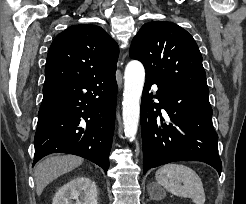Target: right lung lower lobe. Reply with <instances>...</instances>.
I'll use <instances>...</instances> for the list:
<instances>
[{"label":"right lung lower lobe","instance_id":"1","mask_svg":"<svg viewBox=\"0 0 246 204\" xmlns=\"http://www.w3.org/2000/svg\"><path fill=\"white\" fill-rule=\"evenodd\" d=\"M34 138L33 165L56 152L84 157L107 172L115 125V74L56 82L43 87Z\"/></svg>","mask_w":246,"mask_h":204}]
</instances>
